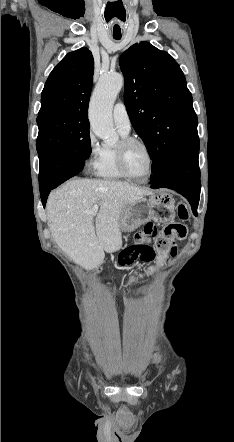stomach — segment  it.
<instances>
[{
	"mask_svg": "<svg viewBox=\"0 0 234 442\" xmlns=\"http://www.w3.org/2000/svg\"><path fill=\"white\" fill-rule=\"evenodd\" d=\"M175 201L167 191L152 194L123 208L119 220L120 230L132 232L151 220L166 223L175 218Z\"/></svg>",
	"mask_w": 234,
	"mask_h": 442,
	"instance_id": "obj_1",
	"label": "stomach"
}]
</instances>
